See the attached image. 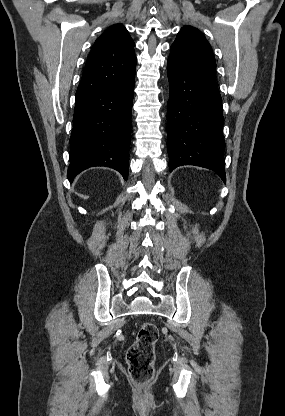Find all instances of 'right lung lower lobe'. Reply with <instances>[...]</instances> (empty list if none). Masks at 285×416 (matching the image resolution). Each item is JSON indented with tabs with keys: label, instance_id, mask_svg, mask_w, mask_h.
I'll use <instances>...</instances> for the list:
<instances>
[{
	"label": "right lung lower lobe",
	"instance_id": "98d812e1",
	"mask_svg": "<svg viewBox=\"0 0 285 416\" xmlns=\"http://www.w3.org/2000/svg\"><path fill=\"white\" fill-rule=\"evenodd\" d=\"M134 81L135 72L110 88L76 99L69 181L93 166L111 167L127 179Z\"/></svg>",
	"mask_w": 285,
	"mask_h": 416
}]
</instances>
